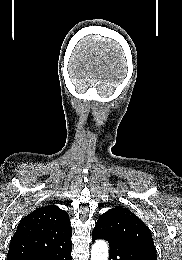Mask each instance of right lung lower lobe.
Wrapping results in <instances>:
<instances>
[{
  "label": "right lung lower lobe",
  "instance_id": "right-lung-lower-lobe-1",
  "mask_svg": "<svg viewBox=\"0 0 182 260\" xmlns=\"http://www.w3.org/2000/svg\"><path fill=\"white\" fill-rule=\"evenodd\" d=\"M72 245L61 250L33 257L30 260H72Z\"/></svg>",
  "mask_w": 182,
  "mask_h": 260
}]
</instances>
